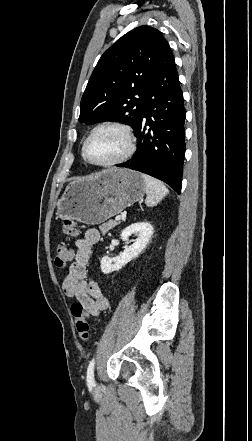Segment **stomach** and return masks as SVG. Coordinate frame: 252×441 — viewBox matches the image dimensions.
<instances>
[{
  "mask_svg": "<svg viewBox=\"0 0 252 441\" xmlns=\"http://www.w3.org/2000/svg\"><path fill=\"white\" fill-rule=\"evenodd\" d=\"M146 191L142 175L112 168L70 182L56 202L61 219L100 224L139 201Z\"/></svg>",
  "mask_w": 252,
  "mask_h": 441,
  "instance_id": "1",
  "label": "stomach"
}]
</instances>
